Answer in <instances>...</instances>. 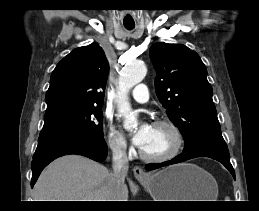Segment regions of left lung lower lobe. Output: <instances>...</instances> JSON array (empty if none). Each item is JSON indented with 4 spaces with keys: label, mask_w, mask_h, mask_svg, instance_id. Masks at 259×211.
Wrapping results in <instances>:
<instances>
[{
    "label": "left lung lower lobe",
    "mask_w": 259,
    "mask_h": 211,
    "mask_svg": "<svg viewBox=\"0 0 259 211\" xmlns=\"http://www.w3.org/2000/svg\"><path fill=\"white\" fill-rule=\"evenodd\" d=\"M196 157H209L221 162L235 178V172L230 163V156H229V151L227 146H219L214 144H204V145L195 147L191 150L181 153L180 155L176 156L174 159L167 162L148 164L146 165V170L157 169L163 166L180 163Z\"/></svg>",
    "instance_id": "obj_1"
}]
</instances>
